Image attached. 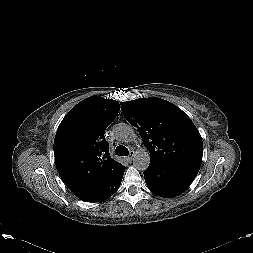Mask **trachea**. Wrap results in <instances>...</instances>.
Instances as JSON below:
<instances>
[{
	"label": "trachea",
	"instance_id": "1",
	"mask_svg": "<svg viewBox=\"0 0 253 253\" xmlns=\"http://www.w3.org/2000/svg\"><path fill=\"white\" fill-rule=\"evenodd\" d=\"M115 153L118 156H127L129 155V150L125 146L119 145L116 147Z\"/></svg>",
	"mask_w": 253,
	"mask_h": 253
}]
</instances>
